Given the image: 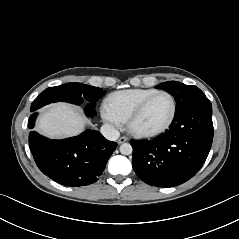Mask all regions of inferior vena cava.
<instances>
[{
	"label": "inferior vena cava",
	"mask_w": 239,
	"mask_h": 239,
	"mask_svg": "<svg viewBox=\"0 0 239 239\" xmlns=\"http://www.w3.org/2000/svg\"><path fill=\"white\" fill-rule=\"evenodd\" d=\"M101 134L110 141H116L120 133L119 131L110 124H104L100 129Z\"/></svg>",
	"instance_id": "602c4592"
}]
</instances>
